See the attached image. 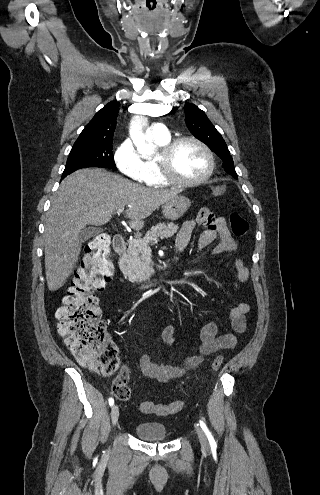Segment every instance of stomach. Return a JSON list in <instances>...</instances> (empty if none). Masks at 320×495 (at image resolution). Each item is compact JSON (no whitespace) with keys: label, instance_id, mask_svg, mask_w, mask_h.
<instances>
[{"label":"stomach","instance_id":"stomach-1","mask_svg":"<svg viewBox=\"0 0 320 495\" xmlns=\"http://www.w3.org/2000/svg\"><path fill=\"white\" fill-rule=\"evenodd\" d=\"M191 201L181 195H175L170 200L166 201L163 208V215L166 219L177 220L189 209Z\"/></svg>","mask_w":320,"mask_h":495}]
</instances>
